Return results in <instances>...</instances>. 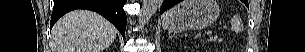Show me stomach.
I'll return each mask as SVG.
<instances>
[{
    "label": "stomach",
    "mask_w": 305,
    "mask_h": 52,
    "mask_svg": "<svg viewBox=\"0 0 305 52\" xmlns=\"http://www.w3.org/2000/svg\"><path fill=\"white\" fill-rule=\"evenodd\" d=\"M218 16L215 0H184L164 14L162 24L170 32L181 33L208 27Z\"/></svg>",
    "instance_id": "0dacf381"
}]
</instances>
